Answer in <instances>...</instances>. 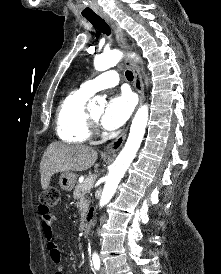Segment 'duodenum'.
Here are the masks:
<instances>
[{
    "label": "duodenum",
    "mask_w": 221,
    "mask_h": 274,
    "mask_svg": "<svg viewBox=\"0 0 221 274\" xmlns=\"http://www.w3.org/2000/svg\"><path fill=\"white\" fill-rule=\"evenodd\" d=\"M91 219H92V215L88 214L86 221L81 225V235L82 237H87L90 233V229H91Z\"/></svg>",
    "instance_id": "410a0bca"
}]
</instances>
